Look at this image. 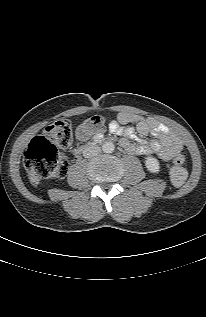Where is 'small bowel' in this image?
<instances>
[{
  "label": "small bowel",
  "mask_w": 206,
  "mask_h": 317,
  "mask_svg": "<svg viewBox=\"0 0 206 317\" xmlns=\"http://www.w3.org/2000/svg\"><path fill=\"white\" fill-rule=\"evenodd\" d=\"M109 130L115 135L125 137L120 143L131 154H156L160 160L168 161L182 149L181 139L171 133L166 126L153 118H144L134 113L120 112L116 119L110 122ZM138 135H150L153 139H140ZM126 138L136 139L138 143H129Z\"/></svg>",
  "instance_id": "small-bowel-1"
}]
</instances>
